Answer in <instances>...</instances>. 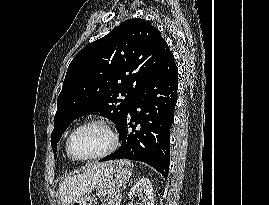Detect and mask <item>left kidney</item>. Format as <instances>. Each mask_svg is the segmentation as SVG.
Returning <instances> with one entry per match:
<instances>
[{"label": "left kidney", "mask_w": 269, "mask_h": 205, "mask_svg": "<svg viewBox=\"0 0 269 205\" xmlns=\"http://www.w3.org/2000/svg\"><path fill=\"white\" fill-rule=\"evenodd\" d=\"M144 192L143 204L142 205H154V193L153 187L148 178L139 180L129 191L128 197L133 200L135 194ZM132 205V203H131Z\"/></svg>", "instance_id": "5707ae66"}]
</instances>
